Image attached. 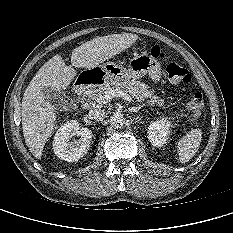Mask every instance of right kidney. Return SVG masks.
Here are the masks:
<instances>
[{"instance_id":"right-kidney-1","label":"right kidney","mask_w":233,"mask_h":233,"mask_svg":"<svg viewBox=\"0 0 233 233\" xmlns=\"http://www.w3.org/2000/svg\"><path fill=\"white\" fill-rule=\"evenodd\" d=\"M77 135L79 140L74 142L71 138ZM92 139V131L81 128L76 120H71L62 125L54 136L53 149L57 157L67 162H75L82 158L88 151Z\"/></svg>"}]
</instances>
